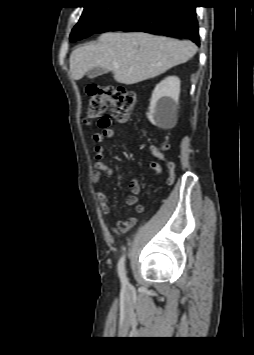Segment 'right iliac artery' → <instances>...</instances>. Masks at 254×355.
I'll use <instances>...</instances> for the list:
<instances>
[{"mask_svg": "<svg viewBox=\"0 0 254 355\" xmlns=\"http://www.w3.org/2000/svg\"><path fill=\"white\" fill-rule=\"evenodd\" d=\"M124 262H125V255H123L118 262V273H119V277L121 279L122 284L126 285L128 283V281H127L126 274H125Z\"/></svg>", "mask_w": 254, "mask_h": 355, "instance_id": "obj_1", "label": "right iliac artery"}]
</instances>
